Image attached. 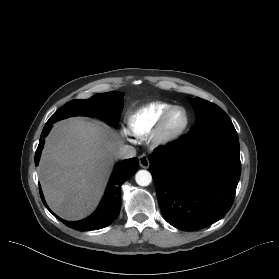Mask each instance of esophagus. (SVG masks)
Segmentation results:
<instances>
[{
    "instance_id": "34e87169",
    "label": "esophagus",
    "mask_w": 279,
    "mask_h": 279,
    "mask_svg": "<svg viewBox=\"0 0 279 279\" xmlns=\"http://www.w3.org/2000/svg\"><path fill=\"white\" fill-rule=\"evenodd\" d=\"M139 164L142 168H148L149 167V165H150L149 159L145 154H143L139 157Z\"/></svg>"
}]
</instances>
